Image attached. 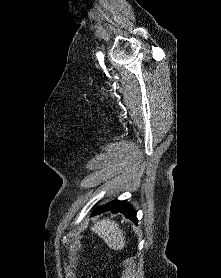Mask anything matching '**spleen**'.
<instances>
[{"mask_svg": "<svg viewBox=\"0 0 221 278\" xmlns=\"http://www.w3.org/2000/svg\"><path fill=\"white\" fill-rule=\"evenodd\" d=\"M91 230L101 237L113 250H122L125 247V235L119 225L110 219L98 221Z\"/></svg>", "mask_w": 221, "mask_h": 278, "instance_id": "obj_1", "label": "spleen"}]
</instances>
